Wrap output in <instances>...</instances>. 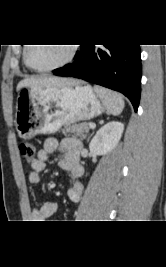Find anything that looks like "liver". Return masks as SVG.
Masks as SVG:
<instances>
[{"label": "liver", "instance_id": "1", "mask_svg": "<svg viewBox=\"0 0 166 267\" xmlns=\"http://www.w3.org/2000/svg\"><path fill=\"white\" fill-rule=\"evenodd\" d=\"M77 83L78 82L73 79H66L53 76L26 78L18 83L17 91H20L24 87H35V88L65 87V86H73Z\"/></svg>", "mask_w": 166, "mask_h": 267}]
</instances>
